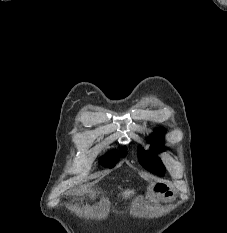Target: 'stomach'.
<instances>
[{"label":"stomach","instance_id":"1","mask_svg":"<svg viewBox=\"0 0 227 233\" xmlns=\"http://www.w3.org/2000/svg\"><path fill=\"white\" fill-rule=\"evenodd\" d=\"M161 188H162V185H161V184H158V185L156 186L155 192H156V193H159V190H160ZM150 191H153V189L150 188Z\"/></svg>","mask_w":227,"mask_h":233}]
</instances>
